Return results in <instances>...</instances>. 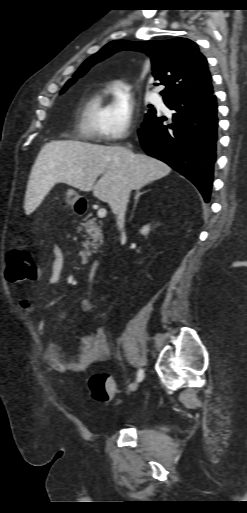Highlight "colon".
<instances>
[{
  "instance_id": "1",
  "label": "colon",
  "mask_w": 247,
  "mask_h": 513,
  "mask_svg": "<svg viewBox=\"0 0 247 513\" xmlns=\"http://www.w3.org/2000/svg\"><path fill=\"white\" fill-rule=\"evenodd\" d=\"M5 276L12 284L36 280L38 267L28 248L20 245L8 253ZM89 390L93 398L100 402L109 401L117 392L114 380L107 373L92 375L89 379Z\"/></svg>"
}]
</instances>
